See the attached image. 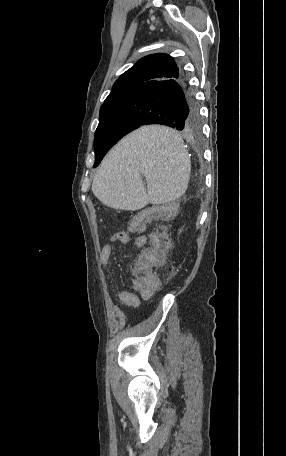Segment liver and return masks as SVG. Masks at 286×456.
Listing matches in <instances>:
<instances>
[{"label":"liver","mask_w":286,"mask_h":456,"mask_svg":"<svg viewBox=\"0 0 286 456\" xmlns=\"http://www.w3.org/2000/svg\"><path fill=\"white\" fill-rule=\"evenodd\" d=\"M190 171L188 152L176 130L143 126L109 152L96 172L92 191L110 208L135 211L149 203L179 199L187 190Z\"/></svg>","instance_id":"6515ba94"}]
</instances>
